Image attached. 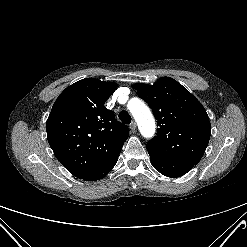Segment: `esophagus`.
<instances>
[{
	"label": "esophagus",
	"mask_w": 247,
	"mask_h": 247,
	"mask_svg": "<svg viewBox=\"0 0 247 247\" xmlns=\"http://www.w3.org/2000/svg\"><path fill=\"white\" fill-rule=\"evenodd\" d=\"M136 128H137L136 123H135V122H132V123L130 124V129H131L132 131H135Z\"/></svg>",
	"instance_id": "1"
}]
</instances>
